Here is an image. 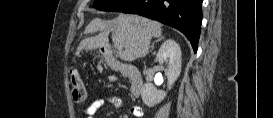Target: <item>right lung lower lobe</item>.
Listing matches in <instances>:
<instances>
[{
  "label": "right lung lower lobe",
  "mask_w": 273,
  "mask_h": 118,
  "mask_svg": "<svg viewBox=\"0 0 273 118\" xmlns=\"http://www.w3.org/2000/svg\"><path fill=\"white\" fill-rule=\"evenodd\" d=\"M203 0H131L117 12L138 14L181 31L198 48Z\"/></svg>",
  "instance_id": "98d812e1"
}]
</instances>
